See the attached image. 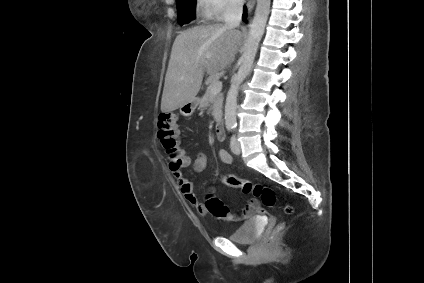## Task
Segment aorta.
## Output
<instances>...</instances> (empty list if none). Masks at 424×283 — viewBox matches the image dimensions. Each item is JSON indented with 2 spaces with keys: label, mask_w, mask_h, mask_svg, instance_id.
Masks as SVG:
<instances>
[{
  "label": "aorta",
  "mask_w": 424,
  "mask_h": 283,
  "mask_svg": "<svg viewBox=\"0 0 424 283\" xmlns=\"http://www.w3.org/2000/svg\"><path fill=\"white\" fill-rule=\"evenodd\" d=\"M270 2L271 0H257L254 18L252 20L250 32L241 57V65L232 80L226 97L225 124L227 127L236 126V109L239 86L251 71V67L253 65L260 40L264 34L269 16Z\"/></svg>",
  "instance_id": "aorta-1"
}]
</instances>
